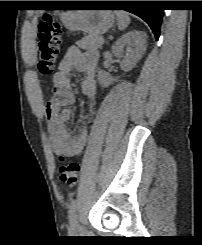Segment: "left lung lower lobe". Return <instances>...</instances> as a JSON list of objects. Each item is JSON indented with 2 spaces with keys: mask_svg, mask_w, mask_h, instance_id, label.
Instances as JSON below:
<instances>
[{
  "mask_svg": "<svg viewBox=\"0 0 202 245\" xmlns=\"http://www.w3.org/2000/svg\"><path fill=\"white\" fill-rule=\"evenodd\" d=\"M89 6L124 7L125 11L142 18L152 29L156 40L160 35L163 10L155 8L151 1H86Z\"/></svg>",
  "mask_w": 202,
  "mask_h": 245,
  "instance_id": "obj_1",
  "label": "left lung lower lobe"
}]
</instances>
